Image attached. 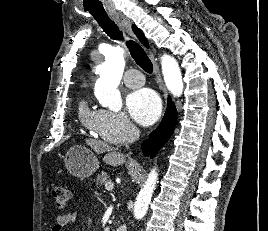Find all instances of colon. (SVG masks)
<instances>
[{
    "instance_id": "obj_1",
    "label": "colon",
    "mask_w": 268,
    "mask_h": 231,
    "mask_svg": "<svg viewBox=\"0 0 268 231\" xmlns=\"http://www.w3.org/2000/svg\"><path fill=\"white\" fill-rule=\"evenodd\" d=\"M51 193L56 205L62 209L66 208L70 200L69 191L62 186L56 185L51 188Z\"/></svg>"
}]
</instances>
